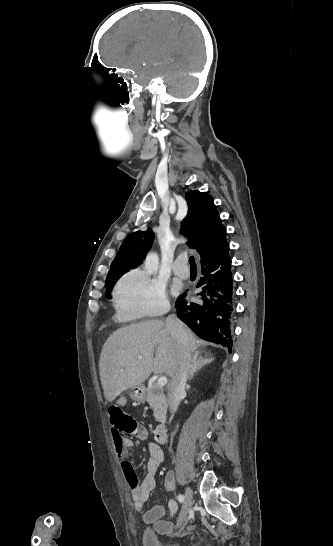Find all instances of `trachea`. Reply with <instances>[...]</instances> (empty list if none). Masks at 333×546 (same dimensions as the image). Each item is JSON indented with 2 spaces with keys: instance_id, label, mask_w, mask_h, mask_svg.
I'll use <instances>...</instances> for the list:
<instances>
[{
  "instance_id": "obj_1",
  "label": "trachea",
  "mask_w": 333,
  "mask_h": 546,
  "mask_svg": "<svg viewBox=\"0 0 333 546\" xmlns=\"http://www.w3.org/2000/svg\"><path fill=\"white\" fill-rule=\"evenodd\" d=\"M189 263H190L191 268H196V264H195V260H194L193 256H191L189 258Z\"/></svg>"
}]
</instances>
